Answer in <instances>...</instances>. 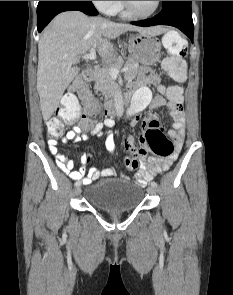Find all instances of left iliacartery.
Returning <instances> with one entry per match:
<instances>
[{"mask_svg": "<svg viewBox=\"0 0 233 295\" xmlns=\"http://www.w3.org/2000/svg\"><path fill=\"white\" fill-rule=\"evenodd\" d=\"M151 186H153V187H157V183L155 182V181H153V182H151Z\"/></svg>", "mask_w": 233, "mask_h": 295, "instance_id": "44dca946", "label": "left iliac artery"}]
</instances>
